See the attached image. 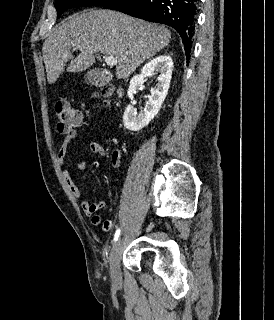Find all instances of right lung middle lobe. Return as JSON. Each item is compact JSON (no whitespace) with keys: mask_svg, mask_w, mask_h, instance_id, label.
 <instances>
[{"mask_svg":"<svg viewBox=\"0 0 274 320\" xmlns=\"http://www.w3.org/2000/svg\"><path fill=\"white\" fill-rule=\"evenodd\" d=\"M111 0H55V7L59 17L65 10L74 7L103 6Z\"/></svg>","mask_w":274,"mask_h":320,"instance_id":"obj_1","label":"right lung middle lobe"}]
</instances>
